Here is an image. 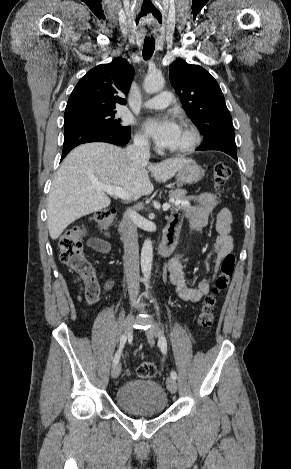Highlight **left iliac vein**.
Here are the masks:
<instances>
[{
    "label": "left iliac vein",
    "mask_w": 291,
    "mask_h": 469,
    "mask_svg": "<svg viewBox=\"0 0 291 469\" xmlns=\"http://www.w3.org/2000/svg\"><path fill=\"white\" fill-rule=\"evenodd\" d=\"M146 335L149 339H153L155 337L159 336V329L157 326L152 325L150 328L146 330ZM166 385L168 390L171 393H175L177 391V383L176 380L173 379L172 377H168L166 380Z\"/></svg>",
    "instance_id": "obj_1"
}]
</instances>
